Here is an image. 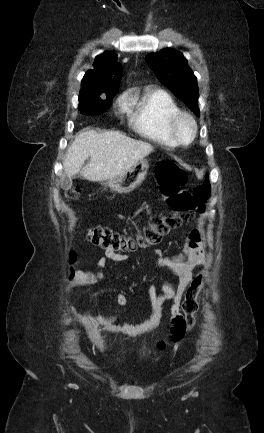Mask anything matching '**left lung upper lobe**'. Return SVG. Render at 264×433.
Listing matches in <instances>:
<instances>
[{
  "label": "left lung upper lobe",
  "mask_w": 264,
  "mask_h": 433,
  "mask_svg": "<svg viewBox=\"0 0 264 433\" xmlns=\"http://www.w3.org/2000/svg\"><path fill=\"white\" fill-rule=\"evenodd\" d=\"M146 61L159 80L199 115L197 78L183 54L163 49L159 53L149 54Z\"/></svg>",
  "instance_id": "5c2ea615"
}]
</instances>
